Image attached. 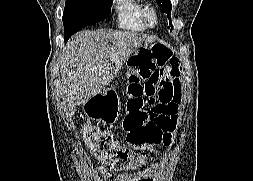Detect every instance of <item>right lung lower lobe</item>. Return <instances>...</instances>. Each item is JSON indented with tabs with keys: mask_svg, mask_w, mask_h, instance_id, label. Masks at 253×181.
Masks as SVG:
<instances>
[{
	"mask_svg": "<svg viewBox=\"0 0 253 181\" xmlns=\"http://www.w3.org/2000/svg\"><path fill=\"white\" fill-rule=\"evenodd\" d=\"M71 37V35H65L64 36V41L67 42V40Z\"/></svg>",
	"mask_w": 253,
	"mask_h": 181,
	"instance_id": "1",
	"label": "right lung lower lobe"
}]
</instances>
